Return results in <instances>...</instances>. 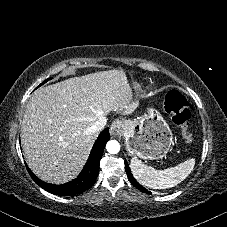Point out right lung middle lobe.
I'll return each instance as SVG.
<instances>
[{"label": "right lung middle lobe", "instance_id": "right-lung-middle-lobe-1", "mask_svg": "<svg viewBox=\"0 0 227 227\" xmlns=\"http://www.w3.org/2000/svg\"><path fill=\"white\" fill-rule=\"evenodd\" d=\"M48 80H50V78L47 79V80H45L42 84H44V83L47 82ZM42 84H40L39 86H41ZM39 86H38V87H39Z\"/></svg>", "mask_w": 227, "mask_h": 227}]
</instances>
